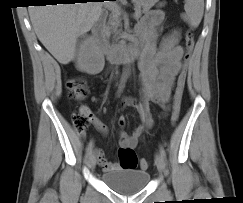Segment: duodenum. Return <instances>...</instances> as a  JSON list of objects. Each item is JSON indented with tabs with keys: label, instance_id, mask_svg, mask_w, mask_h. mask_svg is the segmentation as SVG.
<instances>
[{
	"label": "duodenum",
	"instance_id": "410a0bca",
	"mask_svg": "<svg viewBox=\"0 0 243 203\" xmlns=\"http://www.w3.org/2000/svg\"><path fill=\"white\" fill-rule=\"evenodd\" d=\"M104 12L92 25V34L99 49L105 54L106 58L113 63L122 61H133L141 58L144 45L135 39L129 45H110L104 35Z\"/></svg>",
	"mask_w": 243,
	"mask_h": 203
}]
</instances>
